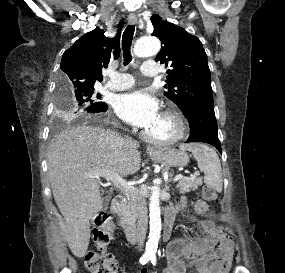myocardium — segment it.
Listing matches in <instances>:
<instances>
[{
	"label": "myocardium",
	"mask_w": 285,
	"mask_h": 273,
	"mask_svg": "<svg viewBox=\"0 0 285 273\" xmlns=\"http://www.w3.org/2000/svg\"><path fill=\"white\" fill-rule=\"evenodd\" d=\"M161 115L163 117L169 118L173 121L176 127L175 133L165 139H159L151 136L149 133L146 131L143 132L142 136L143 138L154 144V145H159V146H168V145H173L181 140H183L187 133H188V122L184 115L175 107H169L165 109Z\"/></svg>",
	"instance_id": "obj_1"
}]
</instances>
